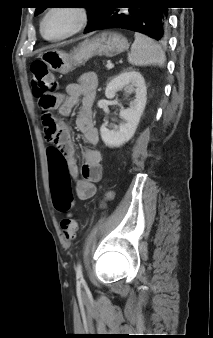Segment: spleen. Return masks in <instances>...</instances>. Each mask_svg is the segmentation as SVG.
I'll return each mask as SVG.
<instances>
[{
	"instance_id": "spleen-1",
	"label": "spleen",
	"mask_w": 213,
	"mask_h": 338,
	"mask_svg": "<svg viewBox=\"0 0 213 338\" xmlns=\"http://www.w3.org/2000/svg\"><path fill=\"white\" fill-rule=\"evenodd\" d=\"M134 36L135 41L128 55L129 63L135 66H164L165 53L160 45L141 33H135Z\"/></svg>"
}]
</instances>
